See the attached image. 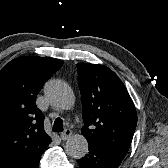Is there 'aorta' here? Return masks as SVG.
Segmentation results:
<instances>
[{"mask_svg": "<svg viewBox=\"0 0 168 168\" xmlns=\"http://www.w3.org/2000/svg\"><path fill=\"white\" fill-rule=\"evenodd\" d=\"M44 93L49 103L62 110L71 109L75 103L72 88L62 80H51L46 83ZM67 153L76 159L88 153V142L81 134L72 135L66 142Z\"/></svg>", "mask_w": 168, "mask_h": 168, "instance_id": "obj_1", "label": "aorta"}]
</instances>
